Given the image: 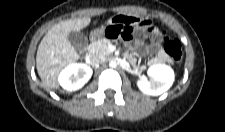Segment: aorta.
Instances as JSON below:
<instances>
[{
  "mask_svg": "<svg viewBox=\"0 0 225 132\" xmlns=\"http://www.w3.org/2000/svg\"><path fill=\"white\" fill-rule=\"evenodd\" d=\"M109 65H110V67H116L117 64L115 61L112 60V61H110Z\"/></svg>",
  "mask_w": 225,
  "mask_h": 132,
  "instance_id": "762f6f07",
  "label": "aorta"
}]
</instances>
